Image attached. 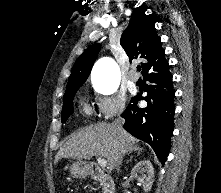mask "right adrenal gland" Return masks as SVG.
<instances>
[{
	"instance_id": "obj_1",
	"label": "right adrenal gland",
	"mask_w": 221,
	"mask_h": 193,
	"mask_svg": "<svg viewBox=\"0 0 221 193\" xmlns=\"http://www.w3.org/2000/svg\"><path fill=\"white\" fill-rule=\"evenodd\" d=\"M142 151V148H138L137 149V156L140 155V152ZM133 159V156H130V158L127 160L126 164H128L129 162H131Z\"/></svg>"
}]
</instances>
